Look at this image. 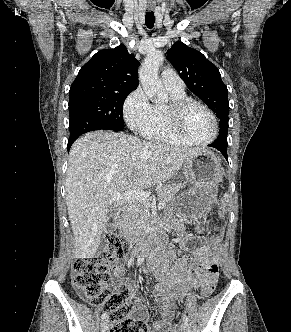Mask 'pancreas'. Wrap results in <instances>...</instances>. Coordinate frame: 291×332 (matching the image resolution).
<instances>
[{
	"instance_id": "1",
	"label": "pancreas",
	"mask_w": 291,
	"mask_h": 332,
	"mask_svg": "<svg viewBox=\"0 0 291 332\" xmlns=\"http://www.w3.org/2000/svg\"><path fill=\"white\" fill-rule=\"evenodd\" d=\"M182 184H167L157 189L158 201L169 203L177 192L184 188ZM146 204L139 201H134L123 212L120 223L119 231L127 232L132 229H140L146 220Z\"/></svg>"
}]
</instances>
